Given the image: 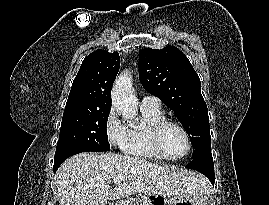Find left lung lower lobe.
Segmentation results:
<instances>
[{"instance_id": "left-lung-lower-lobe-1", "label": "left lung lower lobe", "mask_w": 269, "mask_h": 205, "mask_svg": "<svg viewBox=\"0 0 269 205\" xmlns=\"http://www.w3.org/2000/svg\"><path fill=\"white\" fill-rule=\"evenodd\" d=\"M186 168L193 169L204 174L214 185L215 174L211 148L202 151L200 154L192 158L191 162L186 165Z\"/></svg>"}]
</instances>
